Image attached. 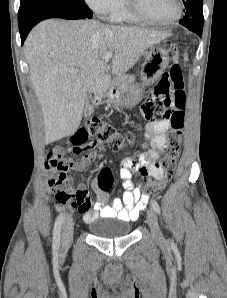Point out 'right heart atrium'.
<instances>
[{
	"instance_id": "1",
	"label": "right heart atrium",
	"mask_w": 227,
	"mask_h": 298,
	"mask_svg": "<svg viewBox=\"0 0 227 298\" xmlns=\"http://www.w3.org/2000/svg\"><path fill=\"white\" fill-rule=\"evenodd\" d=\"M95 13L100 16H110L119 6L121 0H84Z\"/></svg>"
}]
</instances>
